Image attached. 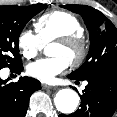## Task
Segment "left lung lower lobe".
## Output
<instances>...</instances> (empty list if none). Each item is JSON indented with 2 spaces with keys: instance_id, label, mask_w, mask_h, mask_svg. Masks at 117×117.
Here are the masks:
<instances>
[{
  "instance_id": "obj_1",
  "label": "left lung lower lobe",
  "mask_w": 117,
  "mask_h": 117,
  "mask_svg": "<svg viewBox=\"0 0 117 117\" xmlns=\"http://www.w3.org/2000/svg\"><path fill=\"white\" fill-rule=\"evenodd\" d=\"M68 78L77 80L68 75ZM81 108L59 117H112L117 108V67L97 72L86 79Z\"/></svg>"
}]
</instances>
